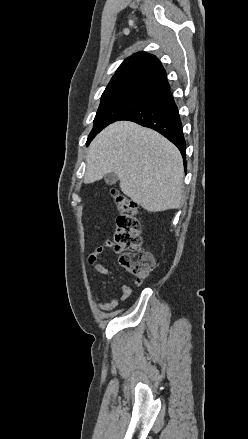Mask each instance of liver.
<instances>
[{
    "label": "liver",
    "instance_id": "6515ba94",
    "mask_svg": "<svg viewBox=\"0 0 248 439\" xmlns=\"http://www.w3.org/2000/svg\"><path fill=\"white\" fill-rule=\"evenodd\" d=\"M115 173L121 191L149 212L181 207L183 159L170 141L148 128L118 121L91 142L84 182L91 184Z\"/></svg>",
    "mask_w": 248,
    "mask_h": 439
}]
</instances>
